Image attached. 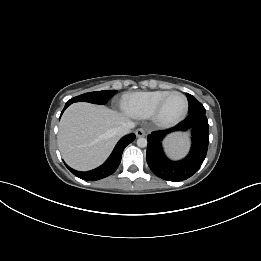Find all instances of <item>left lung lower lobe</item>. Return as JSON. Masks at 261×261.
I'll return each mask as SVG.
<instances>
[{
	"instance_id": "1",
	"label": "left lung lower lobe",
	"mask_w": 261,
	"mask_h": 261,
	"mask_svg": "<svg viewBox=\"0 0 261 261\" xmlns=\"http://www.w3.org/2000/svg\"><path fill=\"white\" fill-rule=\"evenodd\" d=\"M192 130V147L186 158L171 161L166 157L162 148L163 138L174 131ZM146 159L151 171L167 181H182L194 175L201 167L208 149L209 128L205 113H193L168 130L152 132L147 137Z\"/></svg>"
}]
</instances>
